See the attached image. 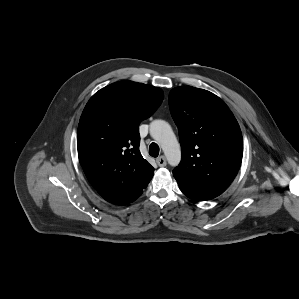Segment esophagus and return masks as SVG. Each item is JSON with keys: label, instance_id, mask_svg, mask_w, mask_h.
<instances>
[{"label": "esophagus", "instance_id": "esophagus-1", "mask_svg": "<svg viewBox=\"0 0 299 299\" xmlns=\"http://www.w3.org/2000/svg\"><path fill=\"white\" fill-rule=\"evenodd\" d=\"M157 164L160 167H164L166 166L167 162H166V158L164 156H160L159 158H157Z\"/></svg>", "mask_w": 299, "mask_h": 299}]
</instances>
